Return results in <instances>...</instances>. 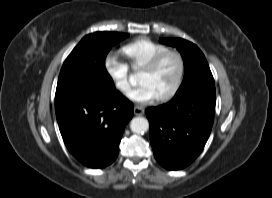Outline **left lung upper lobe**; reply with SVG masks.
Listing matches in <instances>:
<instances>
[{
  "instance_id": "1",
  "label": "left lung upper lobe",
  "mask_w": 272,
  "mask_h": 198,
  "mask_svg": "<svg viewBox=\"0 0 272 198\" xmlns=\"http://www.w3.org/2000/svg\"><path fill=\"white\" fill-rule=\"evenodd\" d=\"M160 42L176 47L184 60L185 75L176 94L190 88L215 86L207 60L196 45L180 38H165Z\"/></svg>"
}]
</instances>
